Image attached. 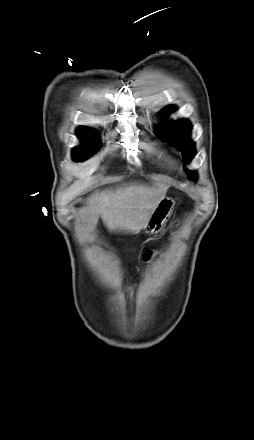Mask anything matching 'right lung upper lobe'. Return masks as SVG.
<instances>
[{"instance_id": "1", "label": "right lung upper lobe", "mask_w": 254, "mask_h": 440, "mask_svg": "<svg viewBox=\"0 0 254 440\" xmlns=\"http://www.w3.org/2000/svg\"><path fill=\"white\" fill-rule=\"evenodd\" d=\"M80 130L91 131L90 129H87V128H84V127H81Z\"/></svg>"}]
</instances>
